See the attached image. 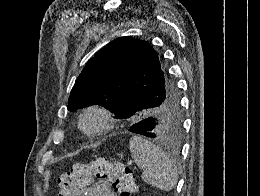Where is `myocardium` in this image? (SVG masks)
Returning <instances> with one entry per match:
<instances>
[{"instance_id":"f54148a6","label":"myocardium","mask_w":260,"mask_h":196,"mask_svg":"<svg viewBox=\"0 0 260 196\" xmlns=\"http://www.w3.org/2000/svg\"><path fill=\"white\" fill-rule=\"evenodd\" d=\"M91 113H96L100 116V124L96 129L88 130L83 126V120L86 116ZM81 124L79 126V130L82 134L90 138L99 137L105 133H107L113 126L114 123V114L107 107L102 105H89L83 109L81 113Z\"/></svg>"}]
</instances>
